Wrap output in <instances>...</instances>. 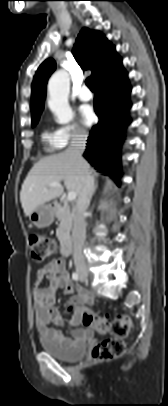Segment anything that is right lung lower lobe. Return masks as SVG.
<instances>
[{
	"label": "right lung lower lobe",
	"instance_id": "right-lung-lower-lobe-1",
	"mask_svg": "<svg viewBox=\"0 0 168 406\" xmlns=\"http://www.w3.org/2000/svg\"><path fill=\"white\" fill-rule=\"evenodd\" d=\"M127 73L120 67L96 83L94 108L100 121L88 137L84 158L106 175L119 178V150L130 122Z\"/></svg>",
	"mask_w": 168,
	"mask_h": 406
}]
</instances>
